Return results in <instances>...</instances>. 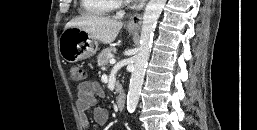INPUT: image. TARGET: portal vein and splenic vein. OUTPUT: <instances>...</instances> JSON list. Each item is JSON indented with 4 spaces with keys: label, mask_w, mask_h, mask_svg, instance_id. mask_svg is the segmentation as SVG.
Masks as SVG:
<instances>
[{
    "label": "portal vein and splenic vein",
    "mask_w": 257,
    "mask_h": 130,
    "mask_svg": "<svg viewBox=\"0 0 257 130\" xmlns=\"http://www.w3.org/2000/svg\"><path fill=\"white\" fill-rule=\"evenodd\" d=\"M109 62H110V64H115L116 60L114 58H111Z\"/></svg>",
    "instance_id": "18ae733b"
}]
</instances>
